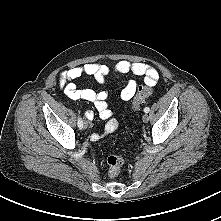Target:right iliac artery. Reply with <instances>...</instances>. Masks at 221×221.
<instances>
[{
  "label": "right iliac artery",
  "mask_w": 221,
  "mask_h": 221,
  "mask_svg": "<svg viewBox=\"0 0 221 221\" xmlns=\"http://www.w3.org/2000/svg\"><path fill=\"white\" fill-rule=\"evenodd\" d=\"M78 127L80 128V129H82L83 128V121H82V118L81 117H78Z\"/></svg>",
  "instance_id": "82829eb1"
}]
</instances>
